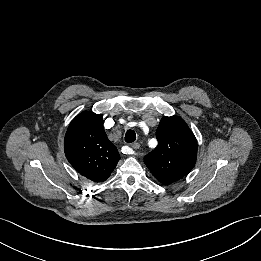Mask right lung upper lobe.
I'll use <instances>...</instances> for the list:
<instances>
[{"mask_svg": "<svg viewBox=\"0 0 261 261\" xmlns=\"http://www.w3.org/2000/svg\"><path fill=\"white\" fill-rule=\"evenodd\" d=\"M64 151L73 168L94 182L105 181L120 160L117 148L104 131L102 115L88 111L70 123Z\"/></svg>", "mask_w": 261, "mask_h": 261, "instance_id": "1", "label": "right lung upper lobe"}]
</instances>
